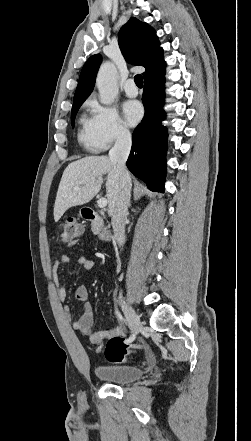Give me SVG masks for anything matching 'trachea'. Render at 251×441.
<instances>
[{"instance_id": "obj_1", "label": "trachea", "mask_w": 251, "mask_h": 441, "mask_svg": "<svg viewBox=\"0 0 251 441\" xmlns=\"http://www.w3.org/2000/svg\"><path fill=\"white\" fill-rule=\"evenodd\" d=\"M134 81L138 87L143 86V80H142V76L140 74H138L134 77Z\"/></svg>"}]
</instances>
